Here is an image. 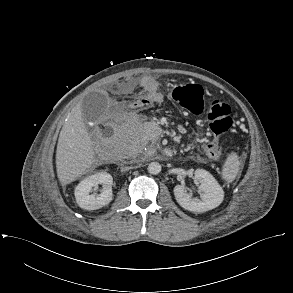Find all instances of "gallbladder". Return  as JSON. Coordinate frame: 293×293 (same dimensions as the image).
Returning <instances> with one entry per match:
<instances>
[{"mask_svg":"<svg viewBox=\"0 0 293 293\" xmlns=\"http://www.w3.org/2000/svg\"><path fill=\"white\" fill-rule=\"evenodd\" d=\"M108 107V97L100 92L88 93L82 100L81 111L85 122H96Z\"/></svg>","mask_w":293,"mask_h":293,"instance_id":"1","label":"gallbladder"}]
</instances>
